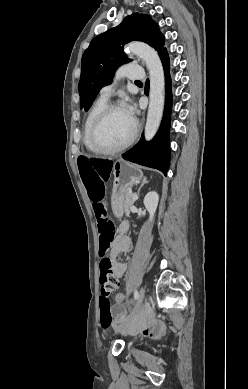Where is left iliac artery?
<instances>
[{
  "label": "left iliac artery",
  "instance_id": "obj_1",
  "mask_svg": "<svg viewBox=\"0 0 248 389\" xmlns=\"http://www.w3.org/2000/svg\"><path fill=\"white\" fill-rule=\"evenodd\" d=\"M138 295H139V294H138V291H137V290H135V291H134V299H135V300H137V299H138Z\"/></svg>",
  "mask_w": 248,
  "mask_h": 389
}]
</instances>
